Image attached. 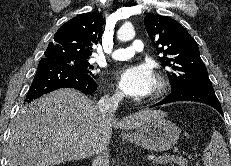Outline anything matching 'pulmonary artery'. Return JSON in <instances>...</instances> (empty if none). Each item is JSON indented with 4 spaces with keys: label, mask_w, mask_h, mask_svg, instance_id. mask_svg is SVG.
<instances>
[{
    "label": "pulmonary artery",
    "mask_w": 231,
    "mask_h": 166,
    "mask_svg": "<svg viewBox=\"0 0 231 166\" xmlns=\"http://www.w3.org/2000/svg\"><path fill=\"white\" fill-rule=\"evenodd\" d=\"M144 50V44L141 40H134L129 47L118 48L114 50L111 57L115 60H127L133 57L136 53Z\"/></svg>",
    "instance_id": "e3ab8cb5"
}]
</instances>
